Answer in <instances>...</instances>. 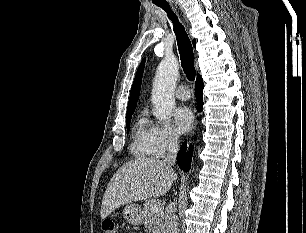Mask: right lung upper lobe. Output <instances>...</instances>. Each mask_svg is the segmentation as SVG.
<instances>
[{"instance_id":"cb5924a9","label":"right lung upper lobe","mask_w":306,"mask_h":233,"mask_svg":"<svg viewBox=\"0 0 306 233\" xmlns=\"http://www.w3.org/2000/svg\"><path fill=\"white\" fill-rule=\"evenodd\" d=\"M196 41H193V45L195 46ZM145 59L142 61L141 65L139 66L136 77L134 79L131 91H130V99L127 107V115L132 114L136 108L137 100L139 98L140 86H141V79L143 74Z\"/></svg>"}]
</instances>
